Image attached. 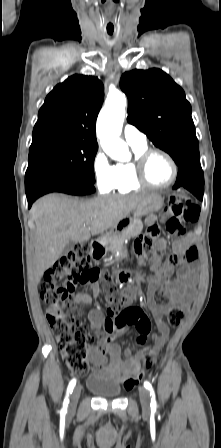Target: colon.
Wrapping results in <instances>:
<instances>
[{"label": "colon", "mask_w": 221, "mask_h": 448, "mask_svg": "<svg viewBox=\"0 0 221 448\" xmlns=\"http://www.w3.org/2000/svg\"><path fill=\"white\" fill-rule=\"evenodd\" d=\"M165 214L167 231L182 236L186 232V225L197 220L199 209L188 197L172 195L169 198V205ZM149 244L150 240L147 239L146 246H149ZM196 259L197 250L193 246L186 248L179 255L180 261L189 264ZM98 277V270L91 265L90 247L86 244H79L56 266L45 273L41 284L43 302L49 308L55 310L48 314V320L57 336L59 350L68 367L78 374H86L89 370L86 350L92 342V336L86 324L79 319L77 310L72 309L66 314L63 311L72 305L76 290L97 282ZM106 296L110 302L120 308L115 288L110 281H107ZM123 315L125 323L136 327V343L139 346H144L152 330L148 315L135 306L124 309ZM182 317L183 311L179 308H173L169 315V323L178 325ZM105 328L107 331H112L114 324L108 321ZM154 362L155 357L151 354L142 367L134 370L131 376L123 381V387L126 390L134 388L145 372L153 366Z\"/></svg>", "instance_id": "5ec220e1"}]
</instances>
